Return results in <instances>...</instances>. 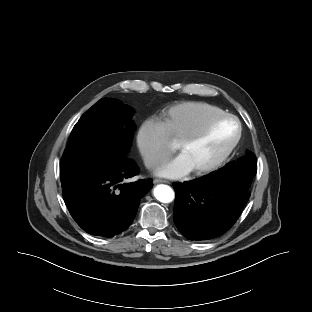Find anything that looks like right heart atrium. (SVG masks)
Returning <instances> with one entry per match:
<instances>
[{"label": "right heart atrium", "mask_w": 312, "mask_h": 312, "mask_svg": "<svg viewBox=\"0 0 312 312\" xmlns=\"http://www.w3.org/2000/svg\"><path fill=\"white\" fill-rule=\"evenodd\" d=\"M137 145L149 169H155L171 154L170 139L162 122L156 117L146 118L139 127Z\"/></svg>", "instance_id": "d8ad5b80"}]
</instances>
